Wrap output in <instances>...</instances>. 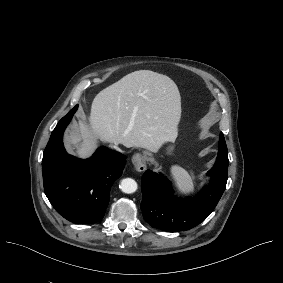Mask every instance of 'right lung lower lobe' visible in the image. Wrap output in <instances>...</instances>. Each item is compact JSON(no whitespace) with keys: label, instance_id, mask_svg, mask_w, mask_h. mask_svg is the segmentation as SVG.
<instances>
[{"label":"right lung lower lobe","instance_id":"right-lung-lower-lobe-1","mask_svg":"<svg viewBox=\"0 0 283 283\" xmlns=\"http://www.w3.org/2000/svg\"><path fill=\"white\" fill-rule=\"evenodd\" d=\"M76 110L77 106L58 122L44 150V191L64 218L73 223L91 224L105 215L110 188L122 175L126 156L106 147H100L86 160L69 155L62 137Z\"/></svg>","mask_w":283,"mask_h":283}]
</instances>
